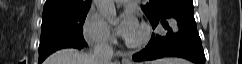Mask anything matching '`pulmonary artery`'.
<instances>
[{
    "instance_id": "obj_1",
    "label": "pulmonary artery",
    "mask_w": 242,
    "mask_h": 64,
    "mask_svg": "<svg viewBox=\"0 0 242 64\" xmlns=\"http://www.w3.org/2000/svg\"><path fill=\"white\" fill-rule=\"evenodd\" d=\"M116 2L118 3H125V2H128V0H115Z\"/></svg>"
}]
</instances>
